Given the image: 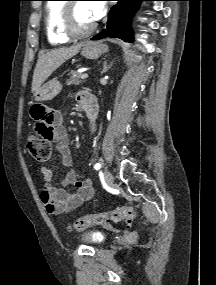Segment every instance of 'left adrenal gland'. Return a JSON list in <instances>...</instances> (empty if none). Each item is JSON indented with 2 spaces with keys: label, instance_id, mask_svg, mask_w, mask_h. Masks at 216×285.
<instances>
[{
  "label": "left adrenal gland",
  "instance_id": "a2214340",
  "mask_svg": "<svg viewBox=\"0 0 216 285\" xmlns=\"http://www.w3.org/2000/svg\"><path fill=\"white\" fill-rule=\"evenodd\" d=\"M112 63L110 65H107V61L104 62L103 64V70L102 73H106L108 69L111 67Z\"/></svg>",
  "mask_w": 216,
  "mask_h": 285
}]
</instances>
